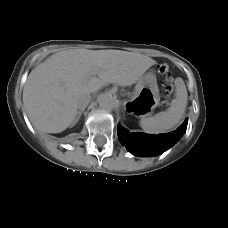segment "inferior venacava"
I'll return each instance as SVG.
<instances>
[{"label":"inferior vena cava","mask_w":228,"mask_h":228,"mask_svg":"<svg viewBox=\"0 0 228 228\" xmlns=\"http://www.w3.org/2000/svg\"><path fill=\"white\" fill-rule=\"evenodd\" d=\"M91 100L89 92H81L76 96L75 102L79 110H84Z\"/></svg>","instance_id":"1"}]
</instances>
